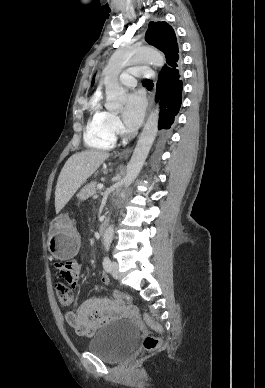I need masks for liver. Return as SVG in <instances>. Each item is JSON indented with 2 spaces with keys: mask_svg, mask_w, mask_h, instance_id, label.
<instances>
[{
  "mask_svg": "<svg viewBox=\"0 0 265 388\" xmlns=\"http://www.w3.org/2000/svg\"><path fill=\"white\" fill-rule=\"evenodd\" d=\"M109 156L108 152H101V150H85V152L74 154L67 160L60 172L55 190L56 214L61 212L75 192L81 188L87 178H90Z\"/></svg>",
  "mask_w": 265,
  "mask_h": 388,
  "instance_id": "obj_1",
  "label": "liver"
}]
</instances>
